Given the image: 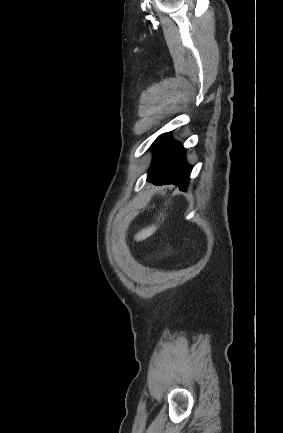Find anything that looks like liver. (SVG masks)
<instances>
[{
    "instance_id": "6515ba94",
    "label": "liver",
    "mask_w": 283,
    "mask_h": 433,
    "mask_svg": "<svg viewBox=\"0 0 283 433\" xmlns=\"http://www.w3.org/2000/svg\"><path fill=\"white\" fill-rule=\"evenodd\" d=\"M164 221V219H162ZM158 225H151V227H146V229H142L137 233L136 237H134L135 241H144V239H148L151 237L155 231H157Z\"/></svg>"
}]
</instances>
